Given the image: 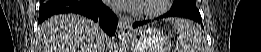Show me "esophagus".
Instances as JSON below:
<instances>
[{"mask_svg":"<svg viewBox=\"0 0 261 52\" xmlns=\"http://www.w3.org/2000/svg\"><path fill=\"white\" fill-rule=\"evenodd\" d=\"M118 30H119L120 38L121 37L127 38L131 35L132 27L127 19L121 18L118 25Z\"/></svg>","mask_w":261,"mask_h":52,"instance_id":"34e87169","label":"esophagus"}]
</instances>
